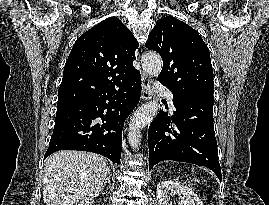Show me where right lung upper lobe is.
Returning <instances> with one entry per match:
<instances>
[{
  "label": "right lung upper lobe",
  "instance_id": "1",
  "mask_svg": "<svg viewBox=\"0 0 269 205\" xmlns=\"http://www.w3.org/2000/svg\"><path fill=\"white\" fill-rule=\"evenodd\" d=\"M138 42L117 18L109 17L82 34L66 61L58 105L115 91L137 70L132 63Z\"/></svg>",
  "mask_w": 269,
  "mask_h": 205
}]
</instances>
